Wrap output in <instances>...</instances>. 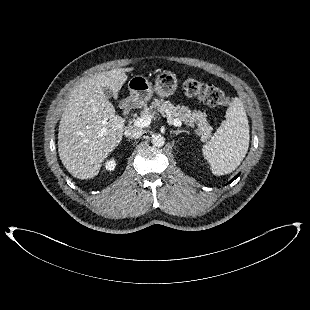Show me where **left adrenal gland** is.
<instances>
[{"label": "left adrenal gland", "mask_w": 310, "mask_h": 310, "mask_svg": "<svg viewBox=\"0 0 310 310\" xmlns=\"http://www.w3.org/2000/svg\"><path fill=\"white\" fill-rule=\"evenodd\" d=\"M183 132L189 133L187 130H181V129H177V130L173 131V133L176 134V135L181 134Z\"/></svg>", "instance_id": "1"}]
</instances>
